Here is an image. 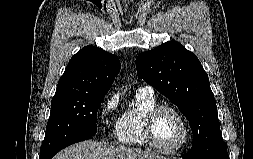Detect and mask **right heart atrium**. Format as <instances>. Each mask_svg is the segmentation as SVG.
<instances>
[{"label":"right heart atrium","instance_id":"right-heart-atrium-1","mask_svg":"<svg viewBox=\"0 0 253 159\" xmlns=\"http://www.w3.org/2000/svg\"><path fill=\"white\" fill-rule=\"evenodd\" d=\"M119 96L111 94L108 96L101 105V114L104 121L116 129L120 116L118 115Z\"/></svg>","mask_w":253,"mask_h":159}]
</instances>
